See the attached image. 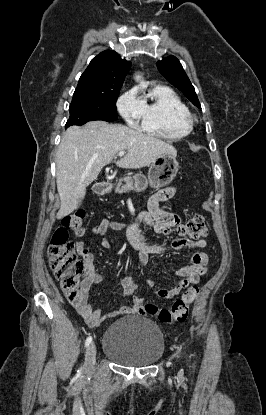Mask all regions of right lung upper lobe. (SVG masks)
I'll return each mask as SVG.
<instances>
[{
  "instance_id": "cb5924a9",
  "label": "right lung upper lobe",
  "mask_w": 266,
  "mask_h": 415,
  "mask_svg": "<svg viewBox=\"0 0 266 415\" xmlns=\"http://www.w3.org/2000/svg\"><path fill=\"white\" fill-rule=\"evenodd\" d=\"M130 61L121 59L113 50L101 52L93 58L81 75L74 93L110 94L121 89Z\"/></svg>"
}]
</instances>
